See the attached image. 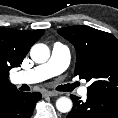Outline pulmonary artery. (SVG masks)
I'll list each match as a JSON object with an SVG mask.
<instances>
[{
  "label": "pulmonary artery",
  "mask_w": 118,
  "mask_h": 118,
  "mask_svg": "<svg viewBox=\"0 0 118 118\" xmlns=\"http://www.w3.org/2000/svg\"><path fill=\"white\" fill-rule=\"evenodd\" d=\"M70 63V50L67 45L60 42L52 46L49 60L27 71H20L12 75L14 84H33L44 81L64 72ZM78 94L82 97L87 95V88L81 87Z\"/></svg>",
  "instance_id": "obj_1"
}]
</instances>
